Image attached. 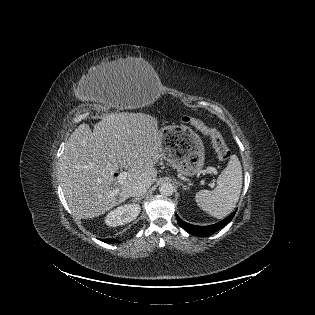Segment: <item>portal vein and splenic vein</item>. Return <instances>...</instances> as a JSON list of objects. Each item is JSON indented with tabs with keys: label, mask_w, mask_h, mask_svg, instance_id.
I'll use <instances>...</instances> for the list:
<instances>
[{
	"label": "portal vein and splenic vein",
	"mask_w": 315,
	"mask_h": 315,
	"mask_svg": "<svg viewBox=\"0 0 315 315\" xmlns=\"http://www.w3.org/2000/svg\"><path fill=\"white\" fill-rule=\"evenodd\" d=\"M209 170L214 171V168L210 167ZM126 177H127V172H126V171H122V172L118 175V182H119L120 184H122L123 181L126 179ZM210 187L213 188L214 185H213V184H210ZM117 193H118V190H117V189H114L113 191L110 192V194H111L112 196L116 195Z\"/></svg>",
	"instance_id": "18ae733b"
}]
</instances>
